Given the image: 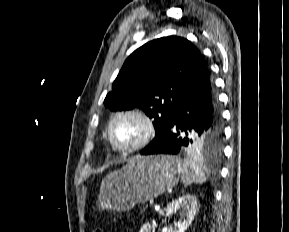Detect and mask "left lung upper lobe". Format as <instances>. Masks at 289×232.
Masks as SVG:
<instances>
[{
  "mask_svg": "<svg viewBox=\"0 0 289 232\" xmlns=\"http://www.w3.org/2000/svg\"><path fill=\"white\" fill-rule=\"evenodd\" d=\"M205 65L199 50L187 39L152 40L126 59L104 105L113 111L139 107L154 118L153 143L166 131L180 97ZM221 137L220 124L216 135L196 138L186 150L219 154Z\"/></svg>",
  "mask_w": 289,
  "mask_h": 232,
  "instance_id": "obj_1",
  "label": "left lung upper lobe"
}]
</instances>
